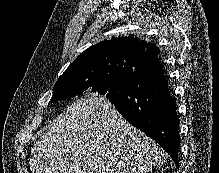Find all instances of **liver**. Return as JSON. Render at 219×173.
Here are the masks:
<instances>
[{
	"label": "liver",
	"instance_id": "obj_1",
	"mask_svg": "<svg viewBox=\"0 0 219 173\" xmlns=\"http://www.w3.org/2000/svg\"><path fill=\"white\" fill-rule=\"evenodd\" d=\"M165 153L102 96L73 102L43 129L31 150L32 173H147Z\"/></svg>",
	"mask_w": 219,
	"mask_h": 173
}]
</instances>
